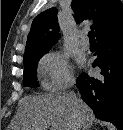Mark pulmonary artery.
Segmentation results:
<instances>
[{"label":"pulmonary artery","mask_w":123,"mask_h":130,"mask_svg":"<svg viewBox=\"0 0 123 130\" xmlns=\"http://www.w3.org/2000/svg\"><path fill=\"white\" fill-rule=\"evenodd\" d=\"M79 44H80V46H81L82 49H85V50L89 49V47H90V42H89V40L87 39V36H86L85 34H83V35L81 36V39H80Z\"/></svg>","instance_id":"obj_1"}]
</instances>
